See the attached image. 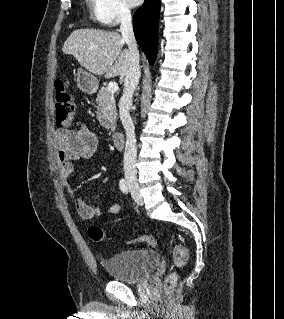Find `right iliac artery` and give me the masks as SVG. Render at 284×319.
Listing matches in <instances>:
<instances>
[{"label":"right iliac artery","mask_w":284,"mask_h":319,"mask_svg":"<svg viewBox=\"0 0 284 319\" xmlns=\"http://www.w3.org/2000/svg\"><path fill=\"white\" fill-rule=\"evenodd\" d=\"M119 186H120V190H121L123 193H125V194L128 193V186H127V183H126V181H125L124 179H121V180H120Z\"/></svg>","instance_id":"1"}]
</instances>
